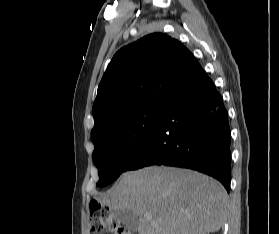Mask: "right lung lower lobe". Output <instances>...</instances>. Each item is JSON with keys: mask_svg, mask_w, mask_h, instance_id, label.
<instances>
[{"mask_svg": "<svg viewBox=\"0 0 279 234\" xmlns=\"http://www.w3.org/2000/svg\"><path fill=\"white\" fill-rule=\"evenodd\" d=\"M150 165L194 169L230 190L231 152L228 114L221 95L202 69L169 102L155 128L125 171Z\"/></svg>", "mask_w": 279, "mask_h": 234, "instance_id": "obj_1", "label": "right lung lower lobe"}]
</instances>
